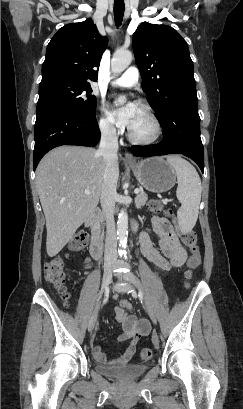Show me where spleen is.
I'll return each mask as SVG.
<instances>
[{
	"mask_svg": "<svg viewBox=\"0 0 243 409\" xmlns=\"http://www.w3.org/2000/svg\"><path fill=\"white\" fill-rule=\"evenodd\" d=\"M167 162L177 175V198L181 207L177 211L179 227L182 232H190L196 224L201 201V180L196 169L178 155L167 157Z\"/></svg>",
	"mask_w": 243,
	"mask_h": 409,
	"instance_id": "3e777b00",
	"label": "spleen"
}]
</instances>
